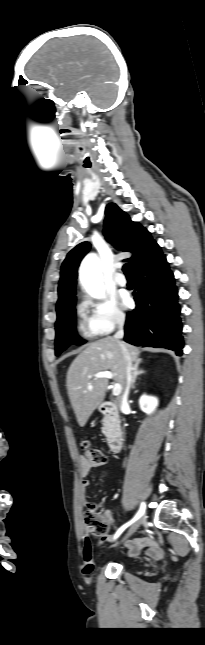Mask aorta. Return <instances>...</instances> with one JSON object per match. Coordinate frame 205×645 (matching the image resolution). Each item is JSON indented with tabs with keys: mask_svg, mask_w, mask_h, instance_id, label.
I'll use <instances>...</instances> for the list:
<instances>
[{
	"mask_svg": "<svg viewBox=\"0 0 205 645\" xmlns=\"http://www.w3.org/2000/svg\"><path fill=\"white\" fill-rule=\"evenodd\" d=\"M79 274L83 286L91 297L96 299L105 297L101 270L95 254H89L83 259Z\"/></svg>",
	"mask_w": 205,
	"mask_h": 645,
	"instance_id": "aorta-1",
	"label": "aorta"
}]
</instances>
